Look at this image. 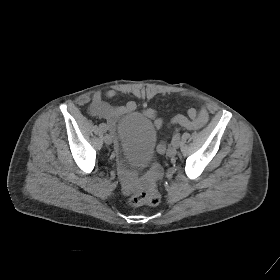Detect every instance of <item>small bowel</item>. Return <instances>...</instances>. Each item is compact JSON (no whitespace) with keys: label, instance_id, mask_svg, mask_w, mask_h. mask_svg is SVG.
<instances>
[{"label":"small bowel","instance_id":"obj_1","mask_svg":"<svg viewBox=\"0 0 280 280\" xmlns=\"http://www.w3.org/2000/svg\"><path fill=\"white\" fill-rule=\"evenodd\" d=\"M117 96V91L110 89L104 94L101 92L94 93L91 103L89 105V113L93 117L105 119L107 127L113 130L117 120L123 115L132 112L136 108L134 101H128L124 105L113 106L108 103L105 99H113ZM144 115L148 118L154 119L156 127L161 128L164 121L157 117L156 111L153 108H146ZM209 120V112L205 106L197 109L190 108L186 115H176L170 120V124L179 125L188 130H198L202 128ZM165 150V143L162 142L159 145V151ZM122 177L124 180L125 191L129 192L137 185V181L134 175L129 173L127 170L122 168Z\"/></svg>","mask_w":280,"mask_h":280}]
</instances>
